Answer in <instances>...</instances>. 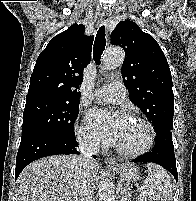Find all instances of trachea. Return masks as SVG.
<instances>
[{
	"label": "trachea",
	"mask_w": 196,
	"mask_h": 201,
	"mask_svg": "<svg viewBox=\"0 0 196 201\" xmlns=\"http://www.w3.org/2000/svg\"><path fill=\"white\" fill-rule=\"evenodd\" d=\"M105 46H106L105 26H101L97 31L93 48V57L97 64H100V59L103 51L105 50Z\"/></svg>",
	"instance_id": "trachea-1"
}]
</instances>
